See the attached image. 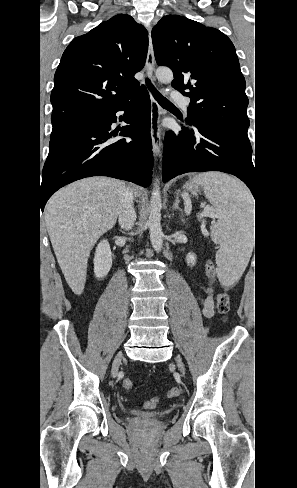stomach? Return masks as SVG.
<instances>
[{"label":"stomach","instance_id":"stomach-1","mask_svg":"<svg viewBox=\"0 0 297 488\" xmlns=\"http://www.w3.org/2000/svg\"><path fill=\"white\" fill-rule=\"evenodd\" d=\"M184 189L187 192L196 193V192H198L200 190V187H199V185L197 183L192 182V181H188L184 185Z\"/></svg>","mask_w":297,"mask_h":488}]
</instances>
